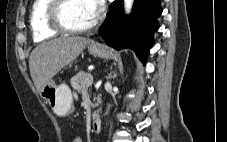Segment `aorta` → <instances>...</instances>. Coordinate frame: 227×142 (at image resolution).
Returning a JSON list of instances; mask_svg holds the SVG:
<instances>
[{"instance_id":"obj_1","label":"aorta","mask_w":227,"mask_h":142,"mask_svg":"<svg viewBox=\"0 0 227 142\" xmlns=\"http://www.w3.org/2000/svg\"><path fill=\"white\" fill-rule=\"evenodd\" d=\"M133 3H134V0H124V6H125L126 13H129L131 11Z\"/></svg>"}]
</instances>
